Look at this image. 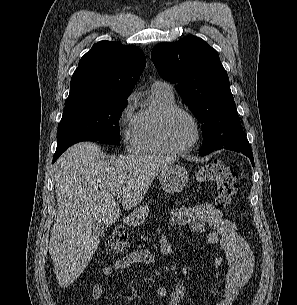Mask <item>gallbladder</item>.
<instances>
[{"label":"gallbladder","instance_id":"obj_1","mask_svg":"<svg viewBox=\"0 0 297 305\" xmlns=\"http://www.w3.org/2000/svg\"><path fill=\"white\" fill-rule=\"evenodd\" d=\"M105 226L103 223H95L92 226V236L95 238H99L104 233Z\"/></svg>","mask_w":297,"mask_h":305}]
</instances>
